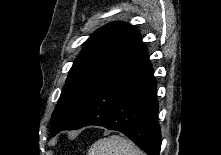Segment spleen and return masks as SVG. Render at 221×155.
Masks as SVG:
<instances>
[{"label": "spleen", "mask_w": 221, "mask_h": 155, "mask_svg": "<svg viewBox=\"0 0 221 155\" xmlns=\"http://www.w3.org/2000/svg\"><path fill=\"white\" fill-rule=\"evenodd\" d=\"M88 155H144L130 140L120 135H112L95 142Z\"/></svg>", "instance_id": "3e777b00"}]
</instances>
